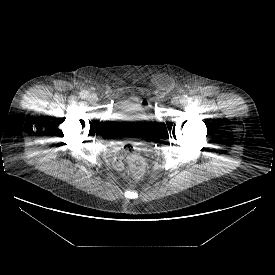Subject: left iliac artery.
<instances>
[{"instance_id": "obj_1", "label": "left iliac artery", "mask_w": 275, "mask_h": 275, "mask_svg": "<svg viewBox=\"0 0 275 275\" xmlns=\"http://www.w3.org/2000/svg\"><path fill=\"white\" fill-rule=\"evenodd\" d=\"M183 101H184V103H190L191 102V98L189 96H184L183 97Z\"/></svg>"}]
</instances>
